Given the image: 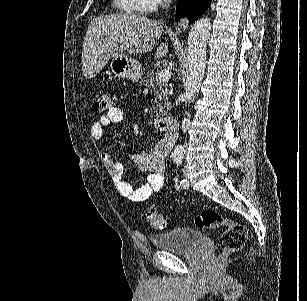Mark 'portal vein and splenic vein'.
Returning <instances> with one entry per match:
<instances>
[{
    "label": "portal vein and splenic vein",
    "mask_w": 307,
    "mask_h": 301,
    "mask_svg": "<svg viewBox=\"0 0 307 301\" xmlns=\"http://www.w3.org/2000/svg\"><path fill=\"white\" fill-rule=\"evenodd\" d=\"M170 76H171L170 70H168V68H163V70L159 72L156 80H169Z\"/></svg>",
    "instance_id": "1"
}]
</instances>
